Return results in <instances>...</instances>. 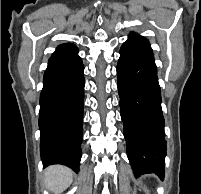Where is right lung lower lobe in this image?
<instances>
[{"instance_id": "obj_1", "label": "right lung lower lobe", "mask_w": 201, "mask_h": 194, "mask_svg": "<svg viewBox=\"0 0 201 194\" xmlns=\"http://www.w3.org/2000/svg\"><path fill=\"white\" fill-rule=\"evenodd\" d=\"M84 66L81 58L48 63L40 94V156L44 167L79 170L81 159Z\"/></svg>"}]
</instances>
